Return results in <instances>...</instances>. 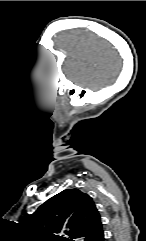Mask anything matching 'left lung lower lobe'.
Listing matches in <instances>:
<instances>
[{
  "label": "left lung lower lobe",
  "instance_id": "obj_1",
  "mask_svg": "<svg viewBox=\"0 0 146 241\" xmlns=\"http://www.w3.org/2000/svg\"><path fill=\"white\" fill-rule=\"evenodd\" d=\"M84 241H104V233L101 220L93 227L87 229L82 235Z\"/></svg>",
  "mask_w": 146,
  "mask_h": 241
}]
</instances>
